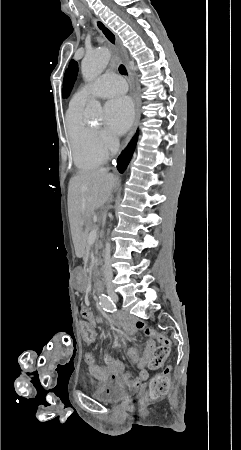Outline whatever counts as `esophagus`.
Here are the masks:
<instances>
[{
  "mask_svg": "<svg viewBox=\"0 0 241 450\" xmlns=\"http://www.w3.org/2000/svg\"><path fill=\"white\" fill-rule=\"evenodd\" d=\"M93 24L95 28L99 31V33L102 35L103 39L106 41L108 46L112 49L113 56L119 58L125 63V65L128 66V57L126 56L124 49H122V47L120 46L117 35L106 25V23H104L99 18H95L93 20ZM128 71L130 76L133 77L132 70L128 69ZM132 97L134 102L135 120L127 138L125 139V143L122 148H124L127 145V143L130 141V139L136 132L141 116L140 114L141 100L139 97L138 86L137 84H135V82H133Z\"/></svg>",
  "mask_w": 241,
  "mask_h": 450,
  "instance_id": "obj_1",
  "label": "esophagus"
}]
</instances>
